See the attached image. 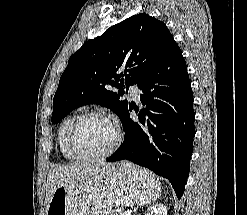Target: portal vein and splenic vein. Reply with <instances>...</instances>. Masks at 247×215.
I'll list each match as a JSON object with an SVG mask.
<instances>
[{"mask_svg": "<svg viewBox=\"0 0 247 215\" xmlns=\"http://www.w3.org/2000/svg\"><path fill=\"white\" fill-rule=\"evenodd\" d=\"M124 215H131V212H124Z\"/></svg>", "mask_w": 247, "mask_h": 215, "instance_id": "portal-vein-and-splenic-vein-1", "label": "portal vein and splenic vein"}]
</instances>
